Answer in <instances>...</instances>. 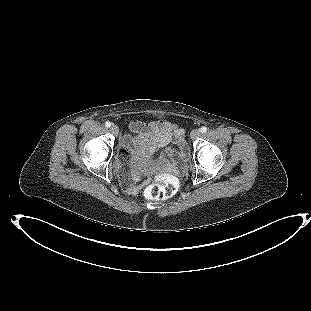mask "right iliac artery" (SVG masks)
Listing matches in <instances>:
<instances>
[{"instance_id": "1", "label": "right iliac artery", "mask_w": 311, "mask_h": 311, "mask_svg": "<svg viewBox=\"0 0 311 311\" xmlns=\"http://www.w3.org/2000/svg\"><path fill=\"white\" fill-rule=\"evenodd\" d=\"M105 126L109 128V127L111 126V122L107 121V122L105 123Z\"/></svg>"}]
</instances>
